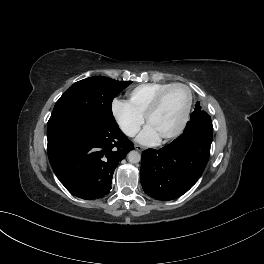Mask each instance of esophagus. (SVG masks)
<instances>
[{"mask_svg": "<svg viewBox=\"0 0 264 264\" xmlns=\"http://www.w3.org/2000/svg\"><path fill=\"white\" fill-rule=\"evenodd\" d=\"M134 148H135V150H137V151H139V152H141V151L144 150V147H142V146H140V145H135Z\"/></svg>", "mask_w": 264, "mask_h": 264, "instance_id": "1", "label": "esophagus"}]
</instances>
